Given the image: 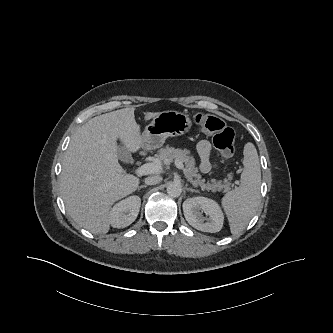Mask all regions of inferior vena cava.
Instances as JSON below:
<instances>
[{
    "mask_svg": "<svg viewBox=\"0 0 333 333\" xmlns=\"http://www.w3.org/2000/svg\"><path fill=\"white\" fill-rule=\"evenodd\" d=\"M162 181V177L160 175H153L145 178V183L147 185H155Z\"/></svg>",
    "mask_w": 333,
    "mask_h": 333,
    "instance_id": "1",
    "label": "inferior vena cava"
}]
</instances>
